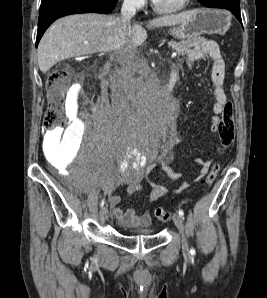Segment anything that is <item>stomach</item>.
<instances>
[{
  "instance_id": "stomach-1",
  "label": "stomach",
  "mask_w": 267,
  "mask_h": 298,
  "mask_svg": "<svg viewBox=\"0 0 267 298\" xmlns=\"http://www.w3.org/2000/svg\"><path fill=\"white\" fill-rule=\"evenodd\" d=\"M190 17L170 29V34L177 39H188L200 34H219L227 32L231 25V15L221 9H196L189 11Z\"/></svg>"
}]
</instances>
